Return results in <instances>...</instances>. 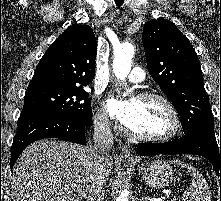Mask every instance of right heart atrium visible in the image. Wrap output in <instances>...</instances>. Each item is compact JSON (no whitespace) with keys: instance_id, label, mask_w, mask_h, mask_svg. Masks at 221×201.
Masks as SVG:
<instances>
[{"instance_id":"right-heart-atrium-1","label":"right heart atrium","mask_w":221,"mask_h":201,"mask_svg":"<svg viewBox=\"0 0 221 201\" xmlns=\"http://www.w3.org/2000/svg\"><path fill=\"white\" fill-rule=\"evenodd\" d=\"M94 123L100 129H107L109 127V119L102 109H98L94 115Z\"/></svg>"}]
</instances>
